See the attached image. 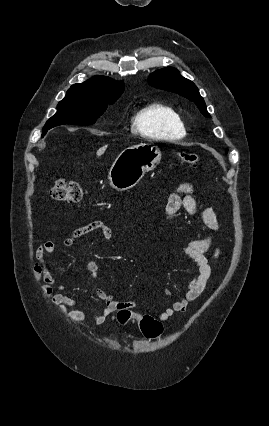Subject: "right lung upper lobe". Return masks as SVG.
I'll list each match as a JSON object with an SVG mask.
<instances>
[{"label": "right lung upper lobe", "instance_id": "cb5924a9", "mask_svg": "<svg viewBox=\"0 0 269 426\" xmlns=\"http://www.w3.org/2000/svg\"><path fill=\"white\" fill-rule=\"evenodd\" d=\"M123 91V82H116L105 76H95L83 83L72 85L67 94H81L91 97L119 98Z\"/></svg>", "mask_w": 269, "mask_h": 426}]
</instances>
